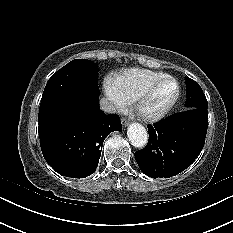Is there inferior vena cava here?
Wrapping results in <instances>:
<instances>
[{"instance_id":"602c4592","label":"inferior vena cava","mask_w":233,"mask_h":233,"mask_svg":"<svg viewBox=\"0 0 233 233\" xmlns=\"http://www.w3.org/2000/svg\"><path fill=\"white\" fill-rule=\"evenodd\" d=\"M100 107H101V110L106 112V113L115 112L114 104L111 101H109L107 98L100 99Z\"/></svg>"}]
</instances>
